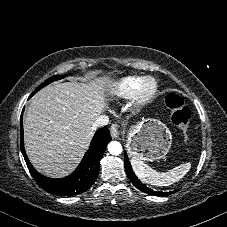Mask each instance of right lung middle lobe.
<instances>
[{
    "label": "right lung middle lobe",
    "mask_w": 227,
    "mask_h": 227,
    "mask_svg": "<svg viewBox=\"0 0 227 227\" xmlns=\"http://www.w3.org/2000/svg\"><path fill=\"white\" fill-rule=\"evenodd\" d=\"M66 76H68V75H61V76L56 75V76L50 77L49 79H47L46 81H44L41 85H39V86L35 89V91L32 93L31 96H33L37 91H39L40 89H42V88L45 87L46 85L50 84L51 82L56 81V80H59V79H62V78H65Z\"/></svg>",
    "instance_id": "dd1d6c3e"
}]
</instances>
